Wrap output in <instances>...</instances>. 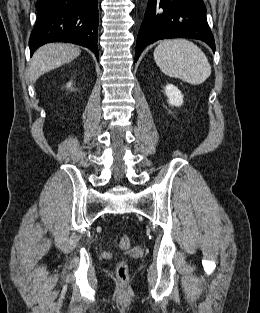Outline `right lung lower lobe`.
Listing matches in <instances>:
<instances>
[{
    "label": "right lung lower lobe",
    "mask_w": 260,
    "mask_h": 313,
    "mask_svg": "<svg viewBox=\"0 0 260 313\" xmlns=\"http://www.w3.org/2000/svg\"><path fill=\"white\" fill-rule=\"evenodd\" d=\"M31 55L43 44L69 42L91 49L98 58V0H37Z\"/></svg>",
    "instance_id": "right-lung-lower-lobe-1"
}]
</instances>
